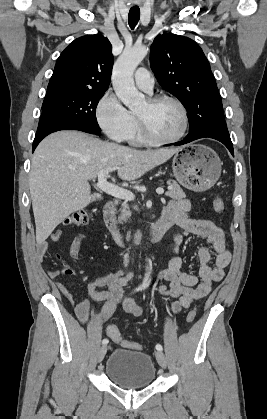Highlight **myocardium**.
Segmentation results:
<instances>
[{"instance_id":"myocardium-1","label":"myocardium","mask_w":267,"mask_h":419,"mask_svg":"<svg viewBox=\"0 0 267 419\" xmlns=\"http://www.w3.org/2000/svg\"><path fill=\"white\" fill-rule=\"evenodd\" d=\"M146 101L150 105H155L162 101H169V102L174 103L179 108L182 115V128L180 132L172 138H168V139L159 138L151 132L145 119L136 113V120L138 123L140 133L143 136V138L147 142L156 144V145L173 144L180 141L186 134L188 126H189V116H188V111L185 105L178 98L171 95H167V94L151 96V97H148Z\"/></svg>"}]
</instances>
